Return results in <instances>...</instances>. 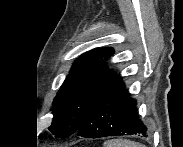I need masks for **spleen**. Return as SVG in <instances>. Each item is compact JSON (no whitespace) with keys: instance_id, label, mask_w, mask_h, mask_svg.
Listing matches in <instances>:
<instances>
[{"instance_id":"1","label":"spleen","mask_w":183,"mask_h":147,"mask_svg":"<svg viewBox=\"0 0 183 147\" xmlns=\"http://www.w3.org/2000/svg\"><path fill=\"white\" fill-rule=\"evenodd\" d=\"M104 147H145L143 144L125 139H114L104 142Z\"/></svg>"}]
</instances>
